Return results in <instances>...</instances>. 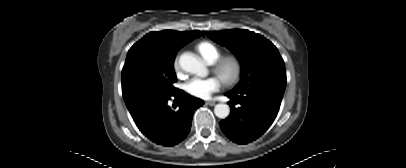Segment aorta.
<instances>
[{"instance_id": "aorta-1", "label": "aorta", "mask_w": 406, "mask_h": 168, "mask_svg": "<svg viewBox=\"0 0 406 168\" xmlns=\"http://www.w3.org/2000/svg\"><path fill=\"white\" fill-rule=\"evenodd\" d=\"M179 64L187 72L202 77L207 75V68L203 61L191 52L183 53L179 58ZM214 113L218 118L225 119L229 116L230 108L227 104H217L214 107Z\"/></svg>"}]
</instances>
